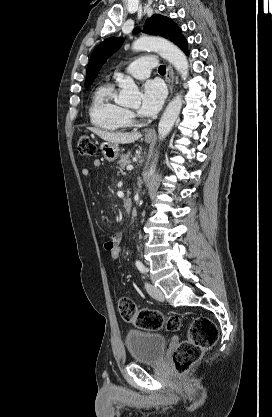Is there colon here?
Listing matches in <instances>:
<instances>
[{
  "mask_svg": "<svg viewBox=\"0 0 272 417\" xmlns=\"http://www.w3.org/2000/svg\"><path fill=\"white\" fill-rule=\"evenodd\" d=\"M77 151L82 156H94L97 153L96 145L86 136L81 135L77 142ZM112 260L121 256V242L112 241L105 249ZM120 316L126 322L132 323L139 329L157 331L162 328L176 331L180 327L177 316H164L152 309H138L135 302L122 297L118 302ZM218 340V329L212 320L207 317H197L193 320L188 331V338L182 341L174 350L173 362L180 375L187 373L202 357L204 351L211 348Z\"/></svg>",
  "mask_w": 272,
  "mask_h": 417,
  "instance_id": "1",
  "label": "colon"
}]
</instances>
